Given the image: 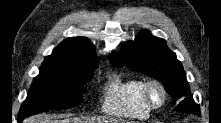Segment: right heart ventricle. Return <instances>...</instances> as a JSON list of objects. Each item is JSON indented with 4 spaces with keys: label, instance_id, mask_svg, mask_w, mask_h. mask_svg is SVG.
<instances>
[{
    "label": "right heart ventricle",
    "instance_id": "e07e8e85",
    "mask_svg": "<svg viewBox=\"0 0 221 123\" xmlns=\"http://www.w3.org/2000/svg\"><path fill=\"white\" fill-rule=\"evenodd\" d=\"M142 80L122 74L112 75L105 87L102 110L108 115L146 119L151 108L141 94Z\"/></svg>",
    "mask_w": 221,
    "mask_h": 123
}]
</instances>
